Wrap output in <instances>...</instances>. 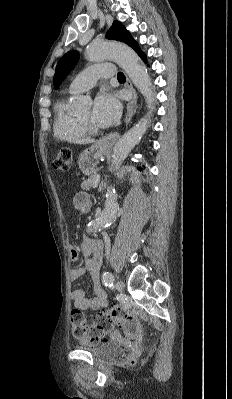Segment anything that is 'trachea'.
Segmentation results:
<instances>
[{
  "label": "trachea",
  "mask_w": 232,
  "mask_h": 399,
  "mask_svg": "<svg viewBox=\"0 0 232 399\" xmlns=\"http://www.w3.org/2000/svg\"><path fill=\"white\" fill-rule=\"evenodd\" d=\"M117 79H118V80H126V79H125L124 73L118 72V74H117Z\"/></svg>",
  "instance_id": "obj_1"
}]
</instances>
